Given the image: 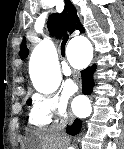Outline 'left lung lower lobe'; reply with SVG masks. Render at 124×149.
<instances>
[{
  "label": "left lung lower lobe",
  "instance_id": "obj_1",
  "mask_svg": "<svg viewBox=\"0 0 124 149\" xmlns=\"http://www.w3.org/2000/svg\"><path fill=\"white\" fill-rule=\"evenodd\" d=\"M96 66L88 67L81 72L82 74V91L84 94H90L94 86L93 73Z\"/></svg>",
  "mask_w": 124,
  "mask_h": 149
}]
</instances>
